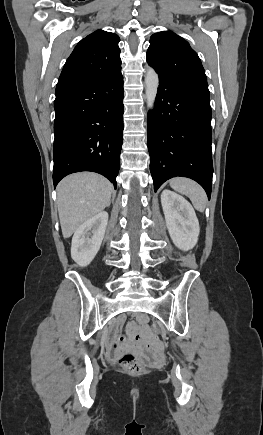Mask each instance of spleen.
<instances>
[{"label":"spleen","mask_w":263,"mask_h":435,"mask_svg":"<svg viewBox=\"0 0 263 435\" xmlns=\"http://www.w3.org/2000/svg\"><path fill=\"white\" fill-rule=\"evenodd\" d=\"M170 186L175 191L189 197L196 210L204 212L207 196L197 182L188 178H174L170 181Z\"/></svg>","instance_id":"1"}]
</instances>
